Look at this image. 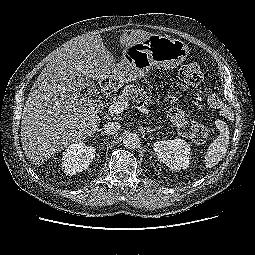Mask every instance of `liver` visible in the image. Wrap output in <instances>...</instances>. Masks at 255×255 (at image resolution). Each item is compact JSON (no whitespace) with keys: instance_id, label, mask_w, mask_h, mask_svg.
<instances>
[{"instance_id":"liver-1","label":"liver","mask_w":255,"mask_h":255,"mask_svg":"<svg viewBox=\"0 0 255 255\" xmlns=\"http://www.w3.org/2000/svg\"><path fill=\"white\" fill-rule=\"evenodd\" d=\"M149 35L132 29L120 35L119 43L123 49ZM117 64L100 35L73 38L55 52L32 86L22 113L21 143L32 164L40 165L98 130L101 119L90 98L78 89L77 76L109 78Z\"/></svg>"}]
</instances>
